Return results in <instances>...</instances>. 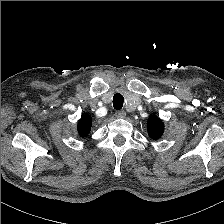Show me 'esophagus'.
Here are the masks:
<instances>
[{"label": "esophagus", "mask_w": 224, "mask_h": 224, "mask_svg": "<svg viewBox=\"0 0 224 224\" xmlns=\"http://www.w3.org/2000/svg\"><path fill=\"white\" fill-rule=\"evenodd\" d=\"M117 118H125L126 117V112L124 110H118L115 113Z\"/></svg>", "instance_id": "1"}]
</instances>
